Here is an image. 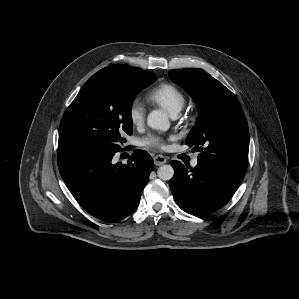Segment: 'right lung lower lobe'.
Here are the masks:
<instances>
[{
	"mask_svg": "<svg viewBox=\"0 0 299 299\" xmlns=\"http://www.w3.org/2000/svg\"><path fill=\"white\" fill-rule=\"evenodd\" d=\"M114 154L58 147L59 171L70 192L88 213L108 222L137 208L153 167L146 151H134L127 164H113Z\"/></svg>",
	"mask_w": 299,
	"mask_h": 299,
	"instance_id": "98d812e1",
	"label": "right lung lower lobe"
}]
</instances>
